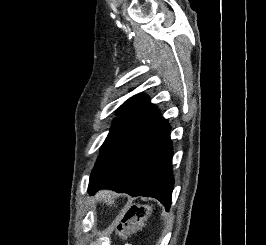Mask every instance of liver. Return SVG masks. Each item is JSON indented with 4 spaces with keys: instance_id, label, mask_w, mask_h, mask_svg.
Wrapping results in <instances>:
<instances>
[{
    "instance_id": "1",
    "label": "liver",
    "mask_w": 266,
    "mask_h": 245,
    "mask_svg": "<svg viewBox=\"0 0 266 245\" xmlns=\"http://www.w3.org/2000/svg\"><path fill=\"white\" fill-rule=\"evenodd\" d=\"M97 197L103 203H107V205H115V201H112L111 193H108V191H100Z\"/></svg>"
}]
</instances>
